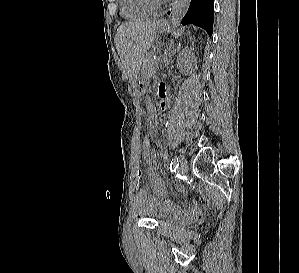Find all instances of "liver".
Masks as SVG:
<instances>
[{
    "label": "liver",
    "mask_w": 299,
    "mask_h": 273,
    "mask_svg": "<svg viewBox=\"0 0 299 273\" xmlns=\"http://www.w3.org/2000/svg\"><path fill=\"white\" fill-rule=\"evenodd\" d=\"M158 23L156 20L128 22L117 29L115 46L132 78H137L142 61L155 41Z\"/></svg>",
    "instance_id": "6515ba94"
}]
</instances>
